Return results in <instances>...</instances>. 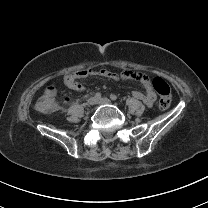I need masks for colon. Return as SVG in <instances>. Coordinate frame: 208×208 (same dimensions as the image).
Instances as JSON below:
<instances>
[{
	"mask_svg": "<svg viewBox=\"0 0 208 208\" xmlns=\"http://www.w3.org/2000/svg\"><path fill=\"white\" fill-rule=\"evenodd\" d=\"M152 86L158 94V107L161 110H166L172 103V92L167 81L162 77H155L152 80ZM43 97L35 102V107L42 113L52 114L57 109V104L54 101L59 95V90L54 85H49L44 90Z\"/></svg>",
	"mask_w": 208,
	"mask_h": 208,
	"instance_id": "5ec220e1",
	"label": "colon"
}]
</instances>
